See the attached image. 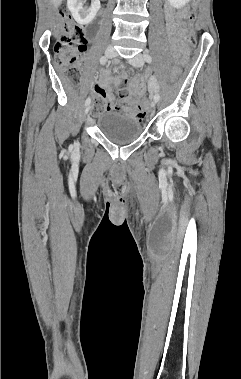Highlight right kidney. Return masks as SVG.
Instances as JSON below:
<instances>
[{"mask_svg": "<svg viewBox=\"0 0 241 379\" xmlns=\"http://www.w3.org/2000/svg\"><path fill=\"white\" fill-rule=\"evenodd\" d=\"M85 0H67V7L75 21L80 25L89 24L100 9V1L92 0L91 5L84 6Z\"/></svg>", "mask_w": 241, "mask_h": 379, "instance_id": "obj_1", "label": "right kidney"}]
</instances>
